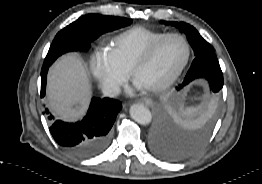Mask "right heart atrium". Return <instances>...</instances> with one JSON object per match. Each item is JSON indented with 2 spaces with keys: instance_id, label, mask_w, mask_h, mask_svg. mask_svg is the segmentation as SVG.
Listing matches in <instances>:
<instances>
[{
  "instance_id": "d8ad5b80",
  "label": "right heart atrium",
  "mask_w": 262,
  "mask_h": 184,
  "mask_svg": "<svg viewBox=\"0 0 262 184\" xmlns=\"http://www.w3.org/2000/svg\"><path fill=\"white\" fill-rule=\"evenodd\" d=\"M90 69L103 92L108 95L116 94L129 77V72L105 49H99L93 54Z\"/></svg>"
}]
</instances>
